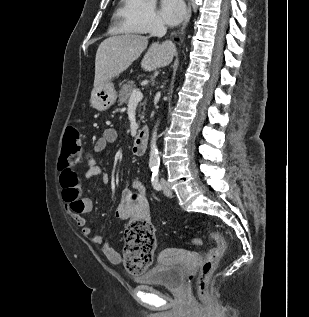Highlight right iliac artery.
Returning <instances> with one entry per match:
<instances>
[{
    "mask_svg": "<svg viewBox=\"0 0 309 317\" xmlns=\"http://www.w3.org/2000/svg\"><path fill=\"white\" fill-rule=\"evenodd\" d=\"M150 168H151V170L154 172L157 167L152 165V166H150Z\"/></svg>",
    "mask_w": 309,
    "mask_h": 317,
    "instance_id": "right-iliac-artery-1",
    "label": "right iliac artery"
}]
</instances>
